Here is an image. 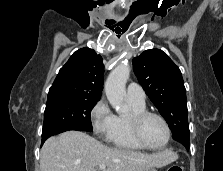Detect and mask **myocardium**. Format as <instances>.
<instances>
[{"mask_svg":"<svg viewBox=\"0 0 223 171\" xmlns=\"http://www.w3.org/2000/svg\"><path fill=\"white\" fill-rule=\"evenodd\" d=\"M150 116L156 117L159 120H161V122L164 124L166 131H167V138H166L165 142L159 147L149 146L148 144L145 143V141L143 140V138L141 136V125H142L143 121L147 117H150ZM128 121H129V127H130L132 137L137 142V144H139L142 148L147 149V150L157 151V150H161V149L165 148L168 145V143L171 139V128H170L168 121L165 119V117L163 115H161L157 112H154V111L144 110V111H140V112L131 113L129 115Z\"/></svg>","mask_w":223,"mask_h":171,"instance_id":"1","label":"myocardium"}]
</instances>
